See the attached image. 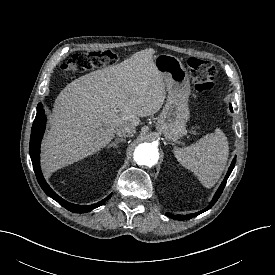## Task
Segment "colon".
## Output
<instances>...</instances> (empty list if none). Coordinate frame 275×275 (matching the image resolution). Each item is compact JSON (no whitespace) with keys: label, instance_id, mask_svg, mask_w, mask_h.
Returning <instances> with one entry per match:
<instances>
[{"label":"colon","instance_id":"obj_1","mask_svg":"<svg viewBox=\"0 0 275 275\" xmlns=\"http://www.w3.org/2000/svg\"><path fill=\"white\" fill-rule=\"evenodd\" d=\"M117 55L110 50H99L73 54L61 69L65 72H84L116 61ZM194 88L197 92L210 91L216 84V69L210 61L191 57L188 60Z\"/></svg>","mask_w":275,"mask_h":275}]
</instances>
